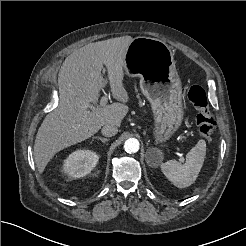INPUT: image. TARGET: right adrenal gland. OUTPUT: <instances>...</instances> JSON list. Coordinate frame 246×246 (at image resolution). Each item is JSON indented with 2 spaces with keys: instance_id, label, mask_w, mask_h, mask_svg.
I'll return each mask as SVG.
<instances>
[{
  "instance_id": "right-adrenal-gland-1",
  "label": "right adrenal gland",
  "mask_w": 246,
  "mask_h": 246,
  "mask_svg": "<svg viewBox=\"0 0 246 246\" xmlns=\"http://www.w3.org/2000/svg\"><path fill=\"white\" fill-rule=\"evenodd\" d=\"M93 139H98V140H100L103 143H106L107 141H109L108 138H103V137H100V136H95V137H93Z\"/></svg>"
}]
</instances>
